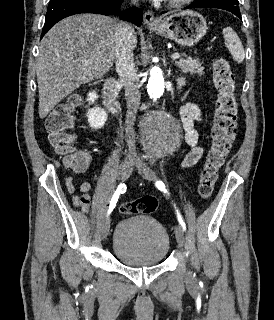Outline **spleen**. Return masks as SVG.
Listing matches in <instances>:
<instances>
[{"mask_svg":"<svg viewBox=\"0 0 274 320\" xmlns=\"http://www.w3.org/2000/svg\"><path fill=\"white\" fill-rule=\"evenodd\" d=\"M223 38H225V46L230 54H232L235 62L241 64L245 58V52L240 38L233 32L232 28H224Z\"/></svg>","mask_w":274,"mask_h":320,"instance_id":"1","label":"spleen"}]
</instances>
